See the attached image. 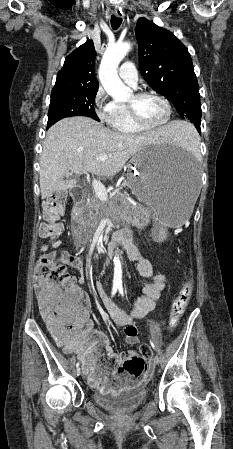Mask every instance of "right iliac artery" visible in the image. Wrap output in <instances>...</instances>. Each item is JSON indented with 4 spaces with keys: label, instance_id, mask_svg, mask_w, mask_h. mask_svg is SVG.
Wrapping results in <instances>:
<instances>
[{
    "label": "right iliac artery",
    "instance_id": "82829eb1",
    "mask_svg": "<svg viewBox=\"0 0 233 449\" xmlns=\"http://www.w3.org/2000/svg\"><path fill=\"white\" fill-rule=\"evenodd\" d=\"M118 287L117 286H113L112 288V297L116 294ZM76 367L79 368V362L76 364Z\"/></svg>",
    "mask_w": 233,
    "mask_h": 449
}]
</instances>
